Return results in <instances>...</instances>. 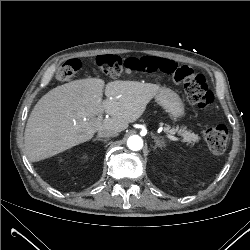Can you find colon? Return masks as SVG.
<instances>
[{
    "label": "colon",
    "mask_w": 250,
    "mask_h": 250,
    "mask_svg": "<svg viewBox=\"0 0 250 250\" xmlns=\"http://www.w3.org/2000/svg\"><path fill=\"white\" fill-rule=\"evenodd\" d=\"M95 62L103 74L113 78L141 71L173 73L175 82L183 84L185 94L191 104L204 110H212L215 107L214 96L208 88L204 74L192 67H178L168 59L151 57L122 59L115 55L99 56ZM80 68V60L71 59L58 68L56 77L60 81H69ZM204 137L213 153H222L226 149L228 130L225 125L217 124L207 128Z\"/></svg>",
    "instance_id": "1"
}]
</instances>
